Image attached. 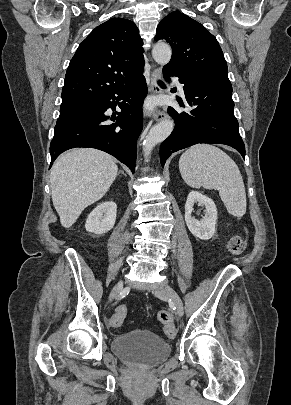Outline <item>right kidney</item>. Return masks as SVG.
I'll return each instance as SVG.
<instances>
[{
    "label": "right kidney",
    "mask_w": 291,
    "mask_h": 405,
    "mask_svg": "<svg viewBox=\"0 0 291 405\" xmlns=\"http://www.w3.org/2000/svg\"><path fill=\"white\" fill-rule=\"evenodd\" d=\"M117 205L113 201L99 204L89 215L85 223L87 232L104 234L115 224Z\"/></svg>",
    "instance_id": "ca27d5eb"
}]
</instances>
